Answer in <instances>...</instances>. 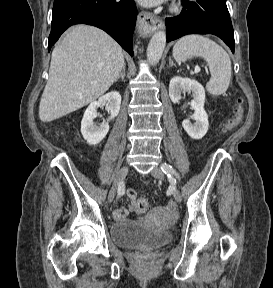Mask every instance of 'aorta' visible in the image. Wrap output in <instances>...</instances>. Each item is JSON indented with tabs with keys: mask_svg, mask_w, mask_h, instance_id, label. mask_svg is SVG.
<instances>
[{
	"mask_svg": "<svg viewBox=\"0 0 273 288\" xmlns=\"http://www.w3.org/2000/svg\"><path fill=\"white\" fill-rule=\"evenodd\" d=\"M166 46V33L164 31L156 32L148 45L147 48V60L155 65L159 62L162 57L163 51Z\"/></svg>",
	"mask_w": 273,
	"mask_h": 288,
	"instance_id": "obj_1",
	"label": "aorta"
}]
</instances>
